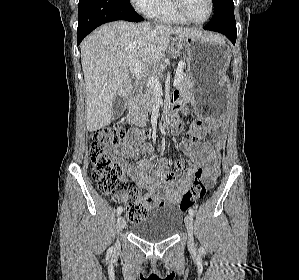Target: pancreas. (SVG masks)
Masks as SVG:
<instances>
[{"label": "pancreas", "instance_id": "pancreas-1", "mask_svg": "<svg viewBox=\"0 0 299 280\" xmlns=\"http://www.w3.org/2000/svg\"><path fill=\"white\" fill-rule=\"evenodd\" d=\"M190 79L186 74H182L178 84L183 91L190 90ZM158 100L157 93L151 87H147L144 93L139 94L130 106V114L132 122L139 126H145L148 121L147 115L150 113Z\"/></svg>", "mask_w": 299, "mask_h": 280}]
</instances>
